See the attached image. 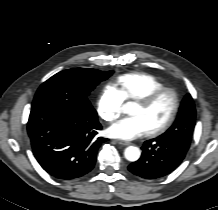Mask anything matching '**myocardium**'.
Wrapping results in <instances>:
<instances>
[{
  "label": "myocardium",
  "instance_id": "f54148a6",
  "mask_svg": "<svg viewBox=\"0 0 218 210\" xmlns=\"http://www.w3.org/2000/svg\"><path fill=\"white\" fill-rule=\"evenodd\" d=\"M166 94H169L172 98L171 112L163 124H161L160 126L154 128L148 132V135H150V136H156V135H159V134L165 132L174 123V121L177 117L178 111H179V107H180L179 95L174 89H172L170 87H162L160 89H157V90L145 95L144 97L140 98L139 100H137L138 104H140L144 107H150L159 98H161L162 96H164Z\"/></svg>",
  "mask_w": 218,
  "mask_h": 210
}]
</instances>
